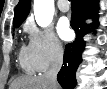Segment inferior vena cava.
Listing matches in <instances>:
<instances>
[{
    "mask_svg": "<svg viewBox=\"0 0 107 89\" xmlns=\"http://www.w3.org/2000/svg\"><path fill=\"white\" fill-rule=\"evenodd\" d=\"M63 64V48L61 45H56L53 61L49 70L44 74L46 79L51 83L52 86H57V74Z\"/></svg>",
    "mask_w": 107,
    "mask_h": 89,
    "instance_id": "inferior-vena-cava-1",
    "label": "inferior vena cava"
}]
</instances>
